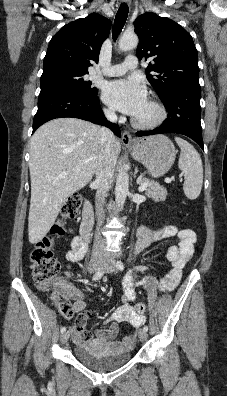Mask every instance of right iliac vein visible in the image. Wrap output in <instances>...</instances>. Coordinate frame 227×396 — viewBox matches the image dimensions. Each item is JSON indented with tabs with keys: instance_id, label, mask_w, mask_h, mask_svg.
Listing matches in <instances>:
<instances>
[{
	"instance_id": "obj_1",
	"label": "right iliac vein",
	"mask_w": 227,
	"mask_h": 396,
	"mask_svg": "<svg viewBox=\"0 0 227 396\" xmlns=\"http://www.w3.org/2000/svg\"><path fill=\"white\" fill-rule=\"evenodd\" d=\"M104 265H105V263L103 261H101V260H92L90 262V264H89L88 269H89L90 272H96V271L102 270ZM69 336H70V333L68 331L62 333V335H61V343L62 344L66 343L68 341V339H69Z\"/></svg>"
}]
</instances>
